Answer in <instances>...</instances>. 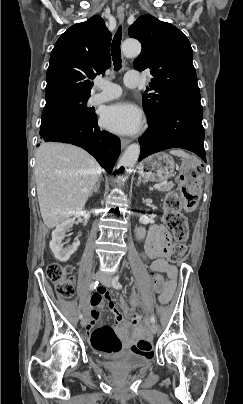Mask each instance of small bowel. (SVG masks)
Listing matches in <instances>:
<instances>
[{
	"mask_svg": "<svg viewBox=\"0 0 243 404\" xmlns=\"http://www.w3.org/2000/svg\"><path fill=\"white\" fill-rule=\"evenodd\" d=\"M139 237L144 239V251L143 256L145 260L150 262L151 268L154 271L164 272L168 276V281L165 285L164 290L159 296L161 303H167L173 296L176 279H177V268L174 265L169 264L165 259L164 255L167 252V245L170 241V234L161 225L153 226L147 234L145 230H139ZM104 301L108 302V310L112 312L116 319L115 332L119 338H121L125 343L132 344L135 339H137L143 332V327L140 324L138 316H133L131 321H124L122 315L117 310L110 292L104 288H99L96 293L91 297V311L87 320L88 331L99 319L100 314L103 309ZM134 326V331L129 334V328Z\"/></svg>",
	"mask_w": 243,
	"mask_h": 404,
	"instance_id": "c3829d8e",
	"label": "small bowel"
}]
</instances>
